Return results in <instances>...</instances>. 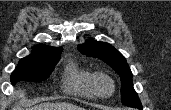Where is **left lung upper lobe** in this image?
<instances>
[{"instance_id":"5c2ea615","label":"left lung upper lobe","mask_w":171,"mask_h":110,"mask_svg":"<svg viewBox=\"0 0 171 110\" xmlns=\"http://www.w3.org/2000/svg\"><path fill=\"white\" fill-rule=\"evenodd\" d=\"M78 50L89 57H95L109 64L121 78V101L128 107L141 108V102L133 88L132 72L124 56L106 42L87 40L78 46Z\"/></svg>"}]
</instances>
